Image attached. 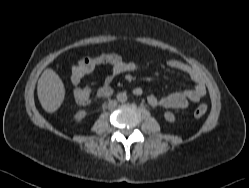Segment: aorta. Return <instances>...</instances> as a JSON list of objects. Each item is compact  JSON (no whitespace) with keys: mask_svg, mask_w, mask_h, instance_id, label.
Segmentation results:
<instances>
[{"mask_svg":"<svg viewBox=\"0 0 249 188\" xmlns=\"http://www.w3.org/2000/svg\"><path fill=\"white\" fill-rule=\"evenodd\" d=\"M118 102L124 103L127 100V94L126 92H119L116 96Z\"/></svg>","mask_w":249,"mask_h":188,"instance_id":"aorta-1","label":"aorta"}]
</instances>
